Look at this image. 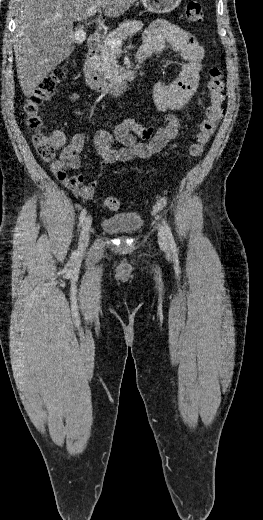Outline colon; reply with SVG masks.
<instances>
[{
	"mask_svg": "<svg viewBox=\"0 0 263 520\" xmlns=\"http://www.w3.org/2000/svg\"><path fill=\"white\" fill-rule=\"evenodd\" d=\"M185 17L189 22L200 23L204 19L203 9L200 3L190 1L186 5ZM223 71L217 65H212L208 72L207 90L209 104L205 109V117L199 125L195 142L190 147V156L198 158L209 143L216 131L217 124L223 115L224 82ZM65 78V70L62 67L53 70L45 77L29 95L25 104L27 125L34 132L33 144L38 155L43 161L49 162L54 159L58 149L56 142L51 136L41 132L43 125L40 117L42 106L55 94L58 85ZM105 207L110 211H118L121 202L118 198L109 196L104 200Z\"/></svg>",
	"mask_w": 263,
	"mask_h": 520,
	"instance_id": "obj_1",
	"label": "colon"
}]
</instances>
